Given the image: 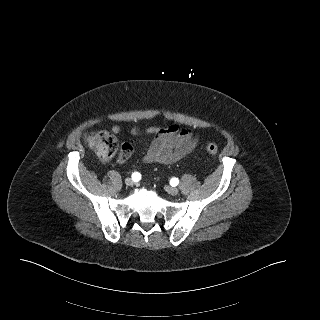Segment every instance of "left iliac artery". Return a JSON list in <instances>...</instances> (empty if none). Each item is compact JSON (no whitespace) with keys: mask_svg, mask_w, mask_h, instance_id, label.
<instances>
[{"mask_svg":"<svg viewBox=\"0 0 320 320\" xmlns=\"http://www.w3.org/2000/svg\"><path fill=\"white\" fill-rule=\"evenodd\" d=\"M179 183V179L178 178H172L170 181V184L172 186H176Z\"/></svg>","mask_w":320,"mask_h":320,"instance_id":"obj_1","label":"left iliac artery"}]
</instances>
